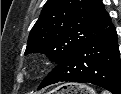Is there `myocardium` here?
I'll use <instances>...</instances> for the list:
<instances>
[{
    "label": "myocardium",
    "instance_id": "1",
    "mask_svg": "<svg viewBox=\"0 0 121 94\" xmlns=\"http://www.w3.org/2000/svg\"><path fill=\"white\" fill-rule=\"evenodd\" d=\"M42 64L39 61H32L31 63L28 64L27 69L31 73H37L41 69Z\"/></svg>",
    "mask_w": 121,
    "mask_h": 94
}]
</instances>
